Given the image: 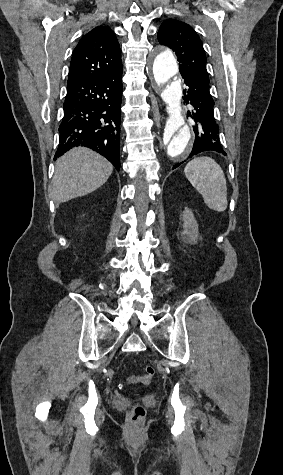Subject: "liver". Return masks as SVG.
Wrapping results in <instances>:
<instances>
[{
    "mask_svg": "<svg viewBox=\"0 0 283 475\" xmlns=\"http://www.w3.org/2000/svg\"><path fill=\"white\" fill-rule=\"evenodd\" d=\"M113 166L89 148H73L55 164L53 198L68 202L78 196L91 194L107 182Z\"/></svg>",
    "mask_w": 283,
    "mask_h": 475,
    "instance_id": "6515ba94",
    "label": "liver"
}]
</instances>
